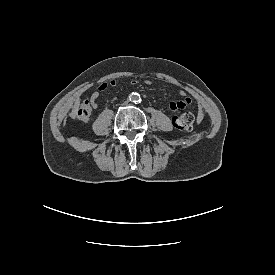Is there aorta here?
<instances>
[{
    "label": "aorta",
    "mask_w": 275,
    "mask_h": 275,
    "mask_svg": "<svg viewBox=\"0 0 275 275\" xmlns=\"http://www.w3.org/2000/svg\"><path fill=\"white\" fill-rule=\"evenodd\" d=\"M131 100L133 101V102H139L141 99H140V95L139 94H137V93H133L132 95H131Z\"/></svg>",
    "instance_id": "762f6f07"
}]
</instances>
